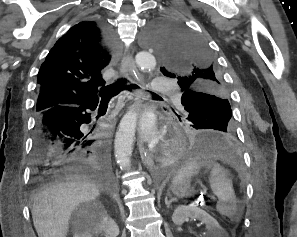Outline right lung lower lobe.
<instances>
[{
    "label": "right lung lower lobe",
    "mask_w": 297,
    "mask_h": 237,
    "mask_svg": "<svg viewBox=\"0 0 297 237\" xmlns=\"http://www.w3.org/2000/svg\"><path fill=\"white\" fill-rule=\"evenodd\" d=\"M98 101L76 107H53L37 114L33 148V179L46 182L72 174L111 176L105 140L91 139L82 129Z\"/></svg>",
    "instance_id": "98d812e1"
}]
</instances>
